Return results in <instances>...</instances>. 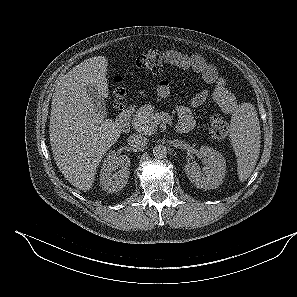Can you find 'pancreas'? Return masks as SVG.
<instances>
[{
	"mask_svg": "<svg viewBox=\"0 0 297 297\" xmlns=\"http://www.w3.org/2000/svg\"><path fill=\"white\" fill-rule=\"evenodd\" d=\"M159 114L155 112L154 107L145 104L139 108L132 120L133 128L144 135H152L156 132L158 126Z\"/></svg>",
	"mask_w": 297,
	"mask_h": 297,
	"instance_id": "1",
	"label": "pancreas"
}]
</instances>
